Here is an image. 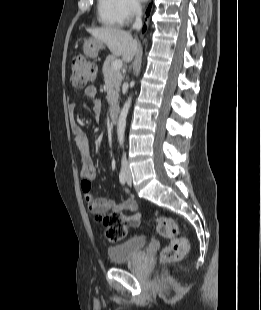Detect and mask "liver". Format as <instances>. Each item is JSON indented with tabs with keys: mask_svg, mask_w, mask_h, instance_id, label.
I'll list each match as a JSON object with an SVG mask.
<instances>
[{
	"mask_svg": "<svg viewBox=\"0 0 261 310\" xmlns=\"http://www.w3.org/2000/svg\"><path fill=\"white\" fill-rule=\"evenodd\" d=\"M88 32L95 39L105 43L113 55L121 56L126 63L131 62L138 51V42L128 31L107 27L88 29Z\"/></svg>",
	"mask_w": 261,
	"mask_h": 310,
	"instance_id": "1",
	"label": "liver"
}]
</instances>
